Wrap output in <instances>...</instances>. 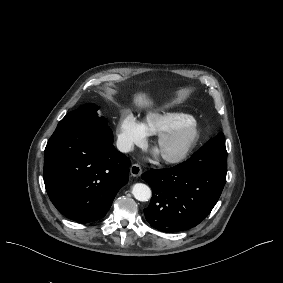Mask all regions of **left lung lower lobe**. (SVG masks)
<instances>
[{
    "label": "left lung lower lobe",
    "mask_w": 283,
    "mask_h": 283,
    "mask_svg": "<svg viewBox=\"0 0 283 283\" xmlns=\"http://www.w3.org/2000/svg\"><path fill=\"white\" fill-rule=\"evenodd\" d=\"M225 143L210 139L192 157L172 168L151 169L142 175L153 191L144 209L148 223L163 232L199 224L217 203L226 182Z\"/></svg>",
    "instance_id": "obj_1"
}]
</instances>
